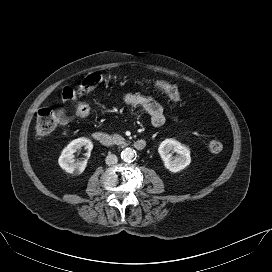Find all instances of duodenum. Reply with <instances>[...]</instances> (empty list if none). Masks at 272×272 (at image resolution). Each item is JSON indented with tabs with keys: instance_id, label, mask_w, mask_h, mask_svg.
<instances>
[{
	"instance_id": "obj_1",
	"label": "duodenum",
	"mask_w": 272,
	"mask_h": 272,
	"mask_svg": "<svg viewBox=\"0 0 272 272\" xmlns=\"http://www.w3.org/2000/svg\"><path fill=\"white\" fill-rule=\"evenodd\" d=\"M94 139L104 147H112L115 145L114 138L104 131H96L94 133ZM134 146L137 150L142 151L147 147V140L138 139L135 141Z\"/></svg>"
}]
</instances>
